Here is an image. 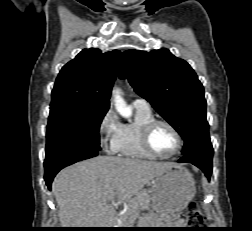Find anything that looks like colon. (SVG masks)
<instances>
[{
    "mask_svg": "<svg viewBox=\"0 0 252 231\" xmlns=\"http://www.w3.org/2000/svg\"><path fill=\"white\" fill-rule=\"evenodd\" d=\"M186 221L191 227H199L204 223V216L195 202H191L187 207Z\"/></svg>",
    "mask_w": 252,
    "mask_h": 231,
    "instance_id": "1",
    "label": "colon"
}]
</instances>
